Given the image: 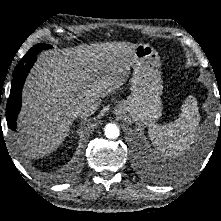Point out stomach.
Masks as SVG:
<instances>
[{"instance_id": "1", "label": "stomach", "mask_w": 221, "mask_h": 221, "mask_svg": "<svg viewBox=\"0 0 221 221\" xmlns=\"http://www.w3.org/2000/svg\"><path fill=\"white\" fill-rule=\"evenodd\" d=\"M131 94L114 109L117 115H128L145 125L162 115V78L160 57L149 44H137L132 58Z\"/></svg>"}]
</instances>
